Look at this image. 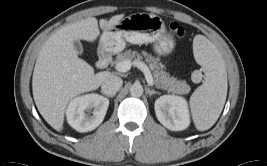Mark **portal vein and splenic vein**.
Masks as SVG:
<instances>
[{"label": "portal vein and splenic vein", "mask_w": 267, "mask_h": 166, "mask_svg": "<svg viewBox=\"0 0 267 166\" xmlns=\"http://www.w3.org/2000/svg\"><path fill=\"white\" fill-rule=\"evenodd\" d=\"M132 64L138 67L144 73L148 85L153 86L154 82H153L152 74L148 66L141 61L131 62L129 60H126V61L119 62L118 64H116L115 68L119 72H127L128 70H130Z\"/></svg>", "instance_id": "18ae733b"}]
</instances>
